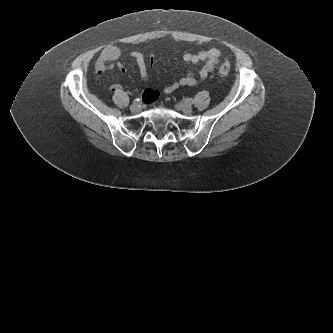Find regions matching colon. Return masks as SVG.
<instances>
[{"label": "colon", "instance_id": "colon-1", "mask_svg": "<svg viewBox=\"0 0 333 333\" xmlns=\"http://www.w3.org/2000/svg\"><path fill=\"white\" fill-rule=\"evenodd\" d=\"M229 70H230V65L227 62L223 63L218 69L219 74L222 76H226L229 73Z\"/></svg>", "mask_w": 333, "mask_h": 333}]
</instances>
